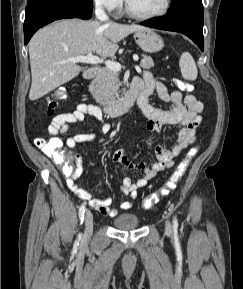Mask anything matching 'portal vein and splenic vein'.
Returning a JSON list of instances; mask_svg holds the SVG:
<instances>
[{
  "instance_id": "obj_1",
  "label": "portal vein and splenic vein",
  "mask_w": 243,
  "mask_h": 289,
  "mask_svg": "<svg viewBox=\"0 0 243 289\" xmlns=\"http://www.w3.org/2000/svg\"><path fill=\"white\" fill-rule=\"evenodd\" d=\"M134 61H138V56L134 55L133 56ZM68 61L73 62V63H87V64H100V63H105L106 67L113 71H120L121 70V64L116 62V61H111V60H104L102 58H99L98 56H94L92 53H88L86 56H74V57H69Z\"/></svg>"
}]
</instances>
